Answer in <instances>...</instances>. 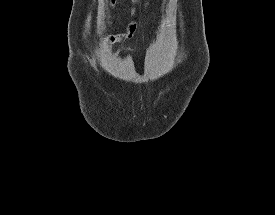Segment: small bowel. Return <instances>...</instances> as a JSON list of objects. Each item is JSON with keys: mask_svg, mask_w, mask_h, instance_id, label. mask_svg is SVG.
Wrapping results in <instances>:
<instances>
[{"mask_svg": "<svg viewBox=\"0 0 275 215\" xmlns=\"http://www.w3.org/2000/svg\"><path fill=\"white\" fill-rule=\"evenodd\" d=\"M134 38L137 41H141V37L139 35V23L138 22H132L129 24L127 30L124 33H121L119 35H110L107 37L106 41L107 43H113L116 40H124V39H131ZM121 52L123 53H135L136 50L131 46H123L121 49Z\"/></svg>", "mask_w": 275, "mask_h": 215, "instance_id": "c3829d8e", "label": "small bowel"}]
</instances>
